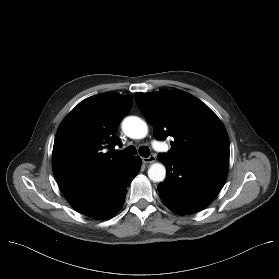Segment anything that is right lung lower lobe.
Here are the masks:
<instances>
[{
    "instance_id": "98d812e1",
    "label": "right lung lower lobe",
    "mask_w": 279,
    "mask_h": 279,
    "mask_svg": "<svg viewBox=\"0 0 279 279\" xmlns=\"http://www.w3.org/2000/svg\"><path fill=\"white\" fill-rule=\"evenodd\" d=\"M141 159L130 160L111 174L87 185L62 192L71 206L84 215L106 219L122 207L127 187L140 171Z\"/></svg>"
}]
</instances>
